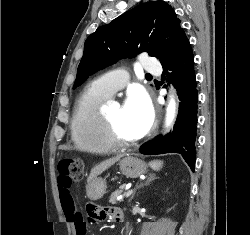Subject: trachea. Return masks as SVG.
Returning a JSON list of instances; mask_svg holds the SVG:
<instances>
[{"mask_svg": "<svg viewBox=\"0 0 250 235\" xmlns=\"http://www.w3.org/2000/svg\"><path fill=\"white\" fill-rule=\"evenodd\" d=\"M146 77H152L150 74H147Z\"/></svg>", "mask_w": 250, "mask_h": 235, "instance_id": "trachea-1", "label": "trachea"}]
</instances>
